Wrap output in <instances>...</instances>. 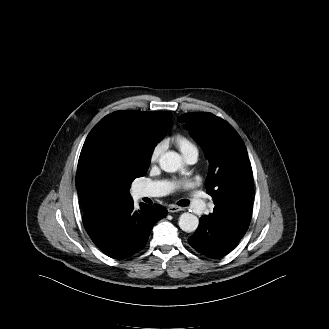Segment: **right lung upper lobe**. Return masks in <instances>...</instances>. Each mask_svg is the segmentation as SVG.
I'll use <instances>...</instances> for the list:
<instances>
[{"instance_id": "right-lung-upper-lobe-1", "label": "right lung upper lobe", "mask_w": 329, "mask_h": 329, "mask_svg": "<svg viewBox=\"0 0 329 329\" xmlns=\"http://www.w3.org/2000/svg\"><path fill=\"white\" fill-rule=\"evenodd\" d=\"M171 118L172 114L168 111H118L107 115L87 136L79 157L77 174L90 165L102 151L113 150L119 140L147 139L156 145L170 126ZM76 187L83 211L95 205L84 195L78 179Z\"/></svg>"}]
</instances>
